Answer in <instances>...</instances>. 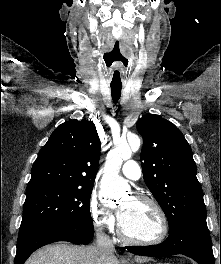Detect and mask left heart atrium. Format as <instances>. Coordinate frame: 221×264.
<instances>
[{"mask_svg":"<svg viewBox=\"0 0 221 264\" xmlns=\"http://www.w3.org/2000/svg\"><path fill=\"white\" fill-rule=\"evenodd\" d=\"M123 217H124V212L123 211H120L119 212V219H120V221L123 219Z\"/></svg>","mask_w":221,"mask_h":264,"instance_id":"left-heart-atrium-1","label":"left heart atrium"}]
</instances>
